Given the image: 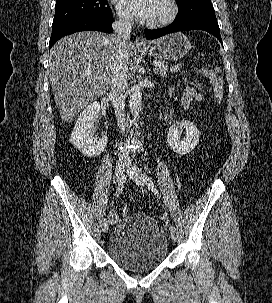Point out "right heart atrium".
Returning <instances> with one entry per match:
<instances>
[{
    "label": "right heart atrium",
    "instance_id": "1",
    "mask_svg": "<svg viewBox=\"0 0 272 303\" xmlns=\"http://www.w3.org/2000/svg\"><path fill=\"white\" fill-rule=\"evenodd\" d=\"M118 16L122 22H129L130 17L118 8Z\"/></svg>",
    "mask_w": 272,
    "mask_h": 303
}]
</instances>
